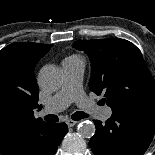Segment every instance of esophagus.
Returning a JSON list of instances; mask_svg holds the SVG:
<instances>
[{
  "label": "esophagus",
  "instance_id": "obj_1",
  "mask_svg": "<svg viewBox=\"0 0 155 155\" xmlns=\"http://www.w3.org/2000/svg\"><path fill=\"white\" fill-rule=\"evenodd\" d=\"M77 122L72 120V119H67L66 120V124L69 126V127H73Z\"/></svg>",
  "mask_w": 155,
  "mask_h": 155
}]
</instances>
